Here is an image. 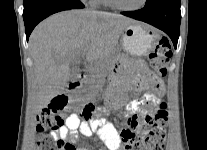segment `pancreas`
<instances>
[{
	"label": "pancreas",
	"mask_w": 207,
	"mask_h": 150,
	"mask_svg": "<svg viewBox=\"0 0 207 150\" xmlns=\"http://www.w3.org/2000/svg\"><path fill=\"white\" fill-rule=\"evenodd\" d=\"M106 66L107 65L105 62H98L95 64L92 70L93 76L90 77L87 81H85V85H84L85 92L93 93L94 92L93 90L96 88L95 85L101 84L103 82L102 78L107 73Z\"/></svg>",
	"instance_id": "cf45deb5"
}]
</instances>
